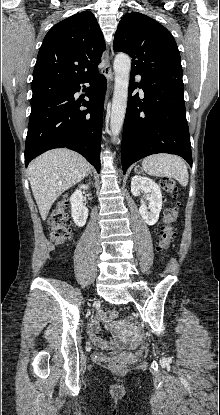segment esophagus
<instances>
[{
	"label": "esophagus",
	"instance_id": "obj_1",
	"mask_svg": "<svg viewBox=\"0 0 220 415\" xmlns=\"http://www.w3.org/2000/svg\"><path fill=\"white\" fill-rule=\"evenodd\" d=\"M104 61H105L104 73H105V75L107 76L108 81H109V87H108V90H107V93H106V98H105V104H106V103H107V100H108V98H109V93H110V84H111V82L113 81V73H112V68H111V65H110V56H109V51H107V52L105 53V56H104Z\"/></svg>",
	"mask_w": 220,
	"mask_h": 415
}]
</instances>
